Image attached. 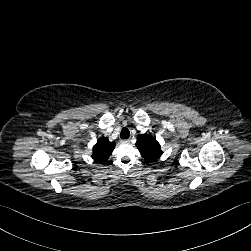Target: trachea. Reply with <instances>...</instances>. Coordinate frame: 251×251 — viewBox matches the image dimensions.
<instances>
[{
    "label": "trachea",
    "mask_w": 251,
    "mask_h": 251,
    "mask_svg": "<svg viewBox=\"0 0 251 251\" xmlns=\"http://www.w3.org/2000/svg\"><path fill=\"white\" fill-rule=\"evenodd\" d=\"M129 136H130L129 129L126 128V127H124V128L121 130V132H120V137H121L122 139H128Z\"/></svg>",
    "instance_id": "trachea-1"
}]
</instances>
